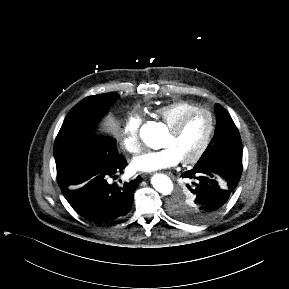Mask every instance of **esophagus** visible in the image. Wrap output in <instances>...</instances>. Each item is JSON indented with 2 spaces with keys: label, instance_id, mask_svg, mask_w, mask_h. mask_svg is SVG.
<instances>
[{
  "label": "esophagus",
  "instance_id": "34e87169",
  "mask_svg": "<svg viewBox=\"0 0 289 289\" xmlns=\"http://www.w3.org/2000/svg\"><path fill=\"white\" fill-rule=\"evenodd\" d=\"M167 175L173 178V174L172 173L169 172V173H167Z\"/></svg>",
  "mask_w": 289,
  "mask_h": 289
}]
</instances>
